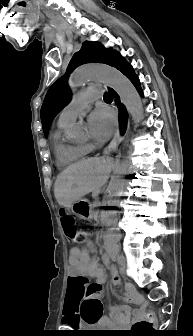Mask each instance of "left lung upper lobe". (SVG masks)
Returning a JSON list of instances; mask_svg holds the SVG:
<instances>
[{
  "label": "left lung upper lobe",
  "mask_w": 193,
  "mask_h": 336,
  "mask_svg": "<svg viewBox=\"0 0 193 336\" xmlns=\"http://www.w3.org/2000/svg\"><path fill=\"white\" fill-rule=\"evenodd\" d=\"M118 54L105 49L99 43L84 42L82 48L71 59L66 75L58 79L48 90L41 107V121L44 134L47 135L52 119L69 102L70 89L67 77L79 65L85 63H105L110 66Z\"/></svg>",
  "instance_id": "1"
}]
</instances>
